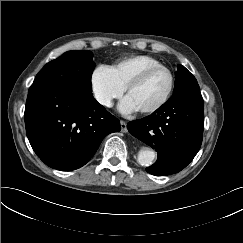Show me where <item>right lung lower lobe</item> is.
Here are the masks:
<instances>
[{"mask_svg": "<svg viewBox=\"0 0 243 243\" xmlns=\"http://www.w3.org/2000/svg\"><path fill=\"white\" fill-rule=\"evenodd\" d=\"M91 91L45 81L31 86L24 113L26 134L49 167L62 171L82 167L105 136L120 131L119 120Z\"/></svg>", "mask_w": 243, "mask_h": 243, "instance_id": "98d812e1", "label": "right lung lower lobe"}]
</instances>
